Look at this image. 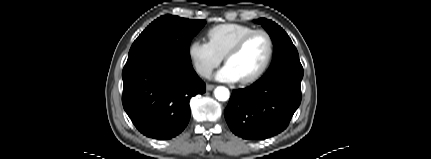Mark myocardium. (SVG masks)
I'll return each mask as SVG.
<instances>
[{
  "label": "myocardium",
  "instance_id": "1",
  "mask_svg": "<svg viewBox=\"0 0 431 159\" xmlns=\"http://www.w3.org/2000/svg\"><path fill=\"white\" fill-rule=\"evenodd\" d=\"M257 34H262L264 35L267 40H268V45H269V50H268V55L266 57L265 62L263 63V65L253 74H251L248 77H245L243 79H240L239 82L241 84H249V83H253L256 80H258L259 78H261L269 69L273 57H274V53H275V43L273 40V37L271 36V34L263 29H255L247 34H245L244 36H242L224 55V61L227 63V61L237 55L246 45V43L255 35Z\"/></svg>",
  "mask_w": 431,
  "mask_h": 159
}]
</instances>
